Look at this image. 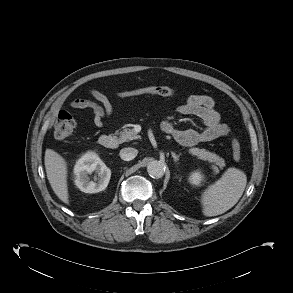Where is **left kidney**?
Returning <instances> with one entry per match:
<instances>
[{"label": "left kidney", "instance_id": "5707ae66", "mask_svg": "<svg viewBox=\"0 0 293 293\" xmlns=\"http://www.w3.org/2000/svg\"><path fill=\"white\" fill-rule=\"evenodd\" d=\"M189 182L193 186H200L204 182V176L201 172L195 171L189 176Z\"/></svg>", "mask_w": 293, "mask_h": 293}]
</instances>
